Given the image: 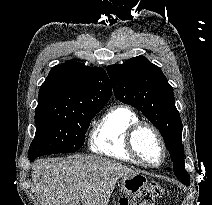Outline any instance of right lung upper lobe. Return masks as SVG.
Masks as SVG:
<instances>
[{
  "label": "right lung upper lobe",
  "instance_id": "1",
  "mask_svg": "<svg viewBox=\"0 0 212 205\" xmlns=\"http://www.w3.org/2000/svg\"><path fill=\"white\" fill-rule=\"evenodd\" d=\"M111 94L104 69L67 61L53 67L40 86L36 111L57 112L79 105H105Z\"/></svg>",
  "mask_w": 212,
  "mask_h": 205
}]
</instances>
